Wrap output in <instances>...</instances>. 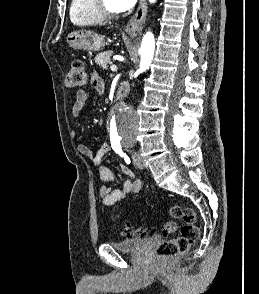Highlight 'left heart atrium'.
Masks as SVG:
<instances>
[{
	"label": "left heart atrium",
	"instance_id": "left-heart-atrium-1",
	"mask_svg": "<svg viewBox=\"0 0 259 294\" xmlns=\"http://www.w3.org/2000/svg\"><path fill=\"white\" fill-rule=\"evenodd\" d=\"M116 8L119 11H125L132 8L137 0H113Z\"/></svg>",
	"mask_w": 259,
	"mask_h": 294
}]
</instances>
